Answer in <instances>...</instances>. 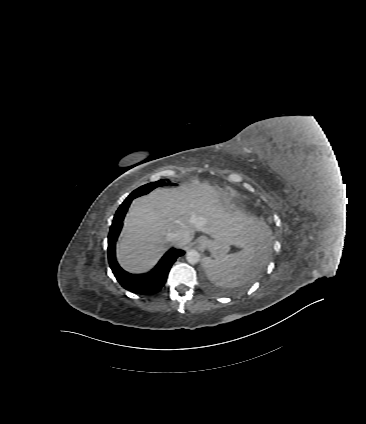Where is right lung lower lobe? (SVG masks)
I'll use <instances>...</instances> for the list:
<instances>
[{"label":"right lung lower lobe","instance_id":"obj_1","mask_svg":"<svg viewBox=\"0 0 366 424\" xmlns=\"http://www.w3.org/2000/svg\"><path fill=\"white\" fill-rule=\"evenodd\" d=\"M133 199L127 197L114 216L108 236V260L112 272L122 287L138 294H153L164 285L172 264L184 254V251L170 249L156 267L144 275L130 274L118 265L115 257V243L122 228L124 216Z\"/></svg>","mask_w":366,"mask_h":424}]
</instances>
